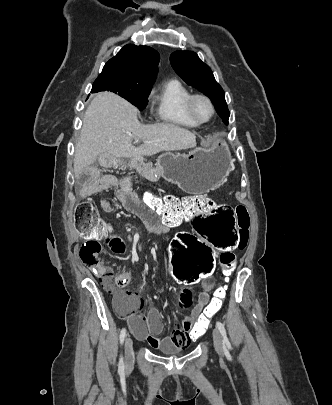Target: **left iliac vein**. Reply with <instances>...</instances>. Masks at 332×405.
I'll list each match as a JSON object with an SVG mask.
<instances>
[{"instance_id":"4c4485c4","label":"left iliac vein","mask_w":332,"mask_h":405,"mask_svg":"<svg viewBox=\"0 0 332 405\" xmlns=\"http://www.w3.org/2000/svg\"><path fill=\"white\" fill-rule=\"evenodd\" d=\"M213 342H214V347L216 352L219 355L223 354V344H222V339H221V335L218 329H213Z\"/></svg>"}]
</instances>
